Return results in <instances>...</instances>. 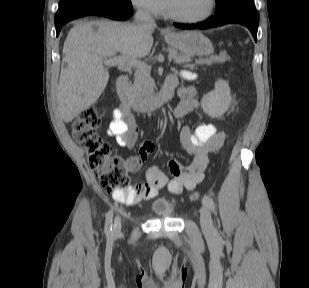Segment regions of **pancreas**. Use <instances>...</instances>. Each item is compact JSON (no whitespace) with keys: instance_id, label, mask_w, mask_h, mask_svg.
<instances>
[{"instance_id":"pancreas-1","label":"pancreas","mask_w":309,"mask_h":288,"mask_svg":"<svg viewBox=\"0 0 309 288\" xmlns=\"http://www.w3.org/2000/svg\"><path fill=\"white\" fill-rule=\"evenodd\" d=\"M169 58L173 59L176 63H187L190 61V56L179 53L177 50L168 48ZM229 59L226 53H220L219 55H212L206 58H200L196 60L197 64L211 66L213 64H222ZM150 70L144 68H138L134 74V80L131 85V91L136 101H142L148 97H151L154 92V82L150 77Z\"/></svg>"}]
</instances>
